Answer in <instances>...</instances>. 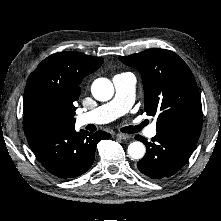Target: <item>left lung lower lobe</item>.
<instances>
[{"label": "left lung lower lobe", "mask_w": 221, "mask_h": 221, "mask_svg": "<svg viewBox=\"0 0 221 221\" xmlns=\"http://www.w3.org/2000/svg\"><path fill=\"white\" fill-rule=\"evenodd\" d=\"M137 140L144 142L147 151L137 163L138 169L152 179L170 177L179 171L189 159L199 135L180 130L157 131L148 142L137 135Z\"/></svg>", "instance_id": "obj_1"}]
</instances>
